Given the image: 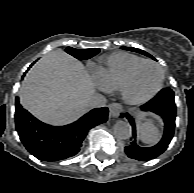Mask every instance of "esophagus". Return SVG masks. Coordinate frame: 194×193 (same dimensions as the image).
<instances>
[{
    "label": "esophagus",
    "mask_w": 194,
    "mask_h": 193,
    "mask_svg": "<svg viewBox=\"0 0 194 193\" xmlns=\"http://www.w3.org/2000/svg\"><path fill=\"white\" fill-rule=\"evenodd\" d=\"M122 111V106L119 103H112L109 105V114L111 117H117Z\"/></svg>",
    "instance_id": "34e87169"
}]
</instances>
